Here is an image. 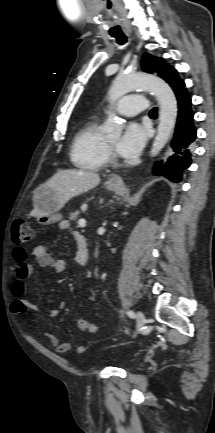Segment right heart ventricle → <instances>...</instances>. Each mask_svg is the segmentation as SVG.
<instances>
[{"mask_svg": "<svg viewBox=\"0 0 215 433\" xmlns=\"http://www.w3.org/2000/svg\"><path fill=\"white\" fill-rule=\"evenodd\" d=\"M71 159L75 166L86 170L98 171L105 167L108 159L106 137L97 116L89 118L76 133Z\"/></svg>", "mask_w": 215, "mask_h": 433, "instance_id": "right-heart-ventricle-1", "label": "right heart ventricle"}]
</instances>
